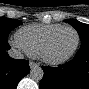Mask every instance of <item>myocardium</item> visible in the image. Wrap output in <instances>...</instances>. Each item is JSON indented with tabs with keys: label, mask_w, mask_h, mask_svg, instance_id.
<instances>
[{
	"label": "myocardium",
	"mask_w": 89,
	"mask_h": 89,
	"mask_svg": "<svg viewBox=\"0 0 89 89\" xmlns=\"http://www.w3.org/2000/svg\"><path fill=\"white\" fill-rule=\"evenodd\" d=\"M64 30H72L75 34H76V42L75 45L73 47V49L65 56L60 57V58H51L47 55V50L51 44V42L53 41V39L59 35L62 31ZM80 45V34L78 32L77 29H75L73 26L67 25V26H62L60 29H58L57 31H55L53 34H51L46 41L44 42V44L41 47V52L39 57L47 64L50 65H60L63 64L65 62H67L68 60H70L75 53L77 52L78 48Z\"/></svg>",
	"instance_id": "1"
}]
</instances>
